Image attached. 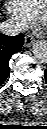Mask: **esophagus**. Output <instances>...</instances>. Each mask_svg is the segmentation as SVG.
Wrapping results in <instances>:
<instances>
[{"label":"esophagus","mask_w":47,"mask_h":129,"mask_svg":"<svg viewBox=\"0 0 47 129\" xmlns=\"http://www.w3.org/2000/svg\"><path fill=\"white\" fill-rule=\"evenodd\" d=\"M34 38L32 35H26L25 38H24V45L26 47H30L32 46V44L34 43Z\"/></svg>","instance_id":"esophagus-1"}]
</instances>
